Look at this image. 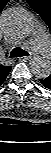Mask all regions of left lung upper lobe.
I'll list each match as a JSON object with an SVG mask.
<instances>
[{
  "label": "left lung upper lobe",
  "instance_id": "obj_1",
  "mask_svg": "<svg viewBox=\"0 0 51 153\" xmlns=\"http://www.w3.org/2000/svg\"><path fill=\"white\" fill-rule=\"evenodd\" d=\"M27 2L51 30V0H27Z\"/></svg>",
  "mask_w": 51,
  "mask_h": 153
}]
</instances>
